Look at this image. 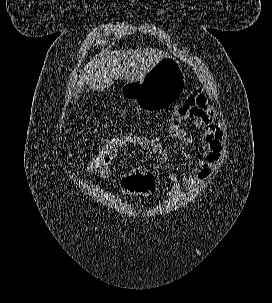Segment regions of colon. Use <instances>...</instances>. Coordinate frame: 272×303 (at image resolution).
I'll return each mask as SVG.
<instances>
[{
  "label": "colon",
  "mask_w": 272,
  "mask_h": 303,
  "mask_svg": "<svg viewBox=\"0 0 272 303\" xmlns=\"http://www.w3.org/2000/svg\"><path fill=\"white\" fill-rule=\"evenodd\" d=\"M166 132H168V126L166 127ZM130 135L138 134H126L119 135L107 140L102 147L91 157L89 160L85 161L79 168V173L85 177L100 176L101 174L112 169V164L117 156V154L123 150L130 143L127 139ZM145 136V135H141ZM148 137V136H145ZM150 139L158 138L148 137ZM156 187V181L154 176L147 171H140L134 182L133 194L145 195L152 192Z\"/></svg>",
  "instance_id": "1"
}]
</instances>
